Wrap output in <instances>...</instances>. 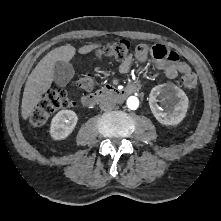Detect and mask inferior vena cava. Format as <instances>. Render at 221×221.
<instances>
[{
	"label": "inferior vena cava",
	"mask_w": 221,
	"mask_h": 221,
	"mask_svg": "<svg viewBox=\"0 0 221 221\" xmlns=\"http://www.w3.org/2000/svg\"><path fill=\"white\" fill-rule=\"evenodd\" d=\"M116 105V101L111 97H104L100 101V108L104 111L112 110Z\"/></svg>",
	"instance_id": "602c4592"
}]
</instances>
